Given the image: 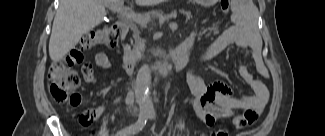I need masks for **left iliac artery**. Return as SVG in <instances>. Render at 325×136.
I'll list each match as a JSON object with an SVG mask.
<instances>
[{"instance_id":"1","label":"left iliac artery","mask_w":325,"mask_h":136,"mask_svg":"<svg viewBox=\"0 0 325 136\" xmlns=\"http://www.w3.org/2000/svg\"><path fill=\"white\" fill-rule=\"evenodd\" d=\"M154 117H155V113H154V112H151V113L149 114V118H150V119H154Z\"/></svg>"}]
</instances>
